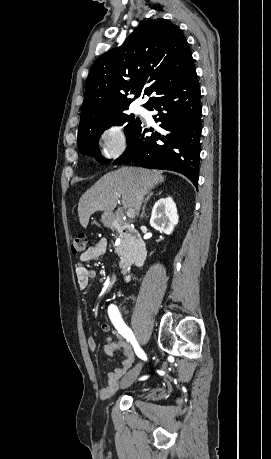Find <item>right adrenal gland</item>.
I'll return each mask as SVG.
<instances>
[{
  "instance_id": "2a0ac1e0",
  "label": "right adrenal gland",
  "mask_w": 271,
  "mask_h": 459,
  "mask_svg": "<svg viewBox=\"0 0 271 459\" xmlns=\"http://www.w3.org/2000/svg\"><path fill=\"white\" fill-rule=\"evenodd\" d=\"M151 196H154L153 192H148L145 200H144V204H143V208H142V214H141V218H144L145 216V208H146V204L147 202H149Z\"/></svg>"
}]
</instances>
